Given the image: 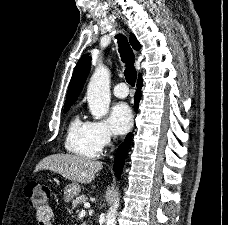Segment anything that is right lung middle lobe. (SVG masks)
<instances>
[{
    "label": "right lung middle lobe",
    "mask_w": 228,
    "mask_h": 225,
    "mask_svg": "<svg viewBox=\"0 0 228 225\" xmlns=\"http://www.w3.org/2000/svg\"><path fill=\"white\" fill-rule=\"evenodd\" d=\"M70 106L71 105L64 107V113H66L69 110Z\"/></svg>",
    "instance_id": "obj_1"
}]
</instances>
